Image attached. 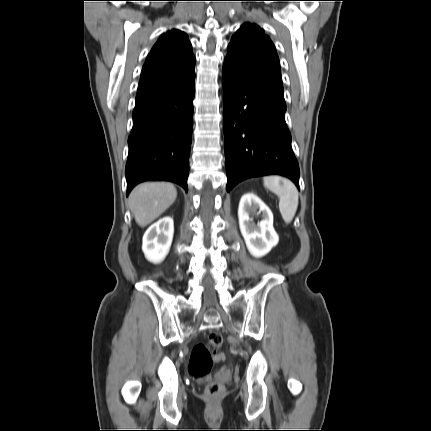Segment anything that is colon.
Listing matches in <instances>:
<instances>
[{
    "label": "colon",
    "mask_w": 431,
    "mask_h": 431,
    "mask_svg": "<svg viewBox=\"0 0 431 431\" xmlns=\"http://www.w3.org/2000/svg\"><path fill=\"white\" fill-rule=\"evenodd\" d=\"M223 344L222 335L218 332H211L206 343H199L194 346L189 360V374L195 379L206 377L215 362L225 363L226 354L219 351ZM223 391V386L218 381H213L206 388L208 397H217Z\"/></svg>",
    "instance_id": "5ec220e1"
}]
</instances>
